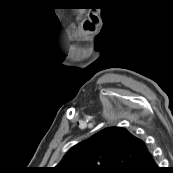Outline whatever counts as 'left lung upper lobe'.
<instances>
[{
    "label": "left lung upper lobe",
    "instance_id": "obj_1",
    "mask_svg": "<svg viewBox=\"0 0 173 173\" xmlns=\"http://www.w3.org/2000/svg\"><path fill=\"white\" fill-rule=\"evenodd\" d=\"M152 154L128 130L109 127L72 147L56 173H138Z\"/></svg>",
    "mask_w": 173,
    "mask_h": 173
}]
</instances>
